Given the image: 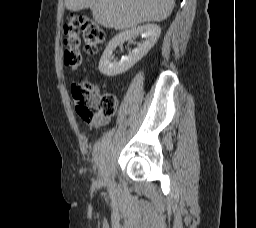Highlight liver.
I'll return each instance as SVG.
<instances>
[{
    "instance_id": "obj_1",
    "label": "liver",
    "mask_w": 256,
    "mask_h": 228,
    "mask_svg": "<svg viewBox=\"0 0 256 228\" xmlns=\"http://www.w3.org/2000/svg\"><path fill=\"white\" fill-rule=\"evenodd\" d=\"M174 5V0H65L68 10L89 8L97 23L116 30L163 21L170 16Z\"/></svg>"
}]
</instances>
